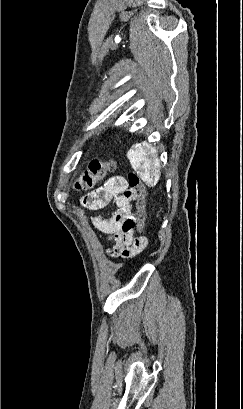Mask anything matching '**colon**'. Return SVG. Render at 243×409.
Here are the masks:
<instances>
[{
    "instance_id": "1",
    "label": "colon",
    "mask_w": 243,
    "mask_h": 409,
    "mask_svg": "<svg viewBox=\"0 0 243 409\" xmlns=\"http://www.w3.org/2000/svg\"><path fill=\"white\" fill-rule=\"evenodd\" d=\"M114 167L111 161L92 160L88 168L76 180L75 188L77 190L92 189L98 182L104 180ZM128 181L131 189L136 192L135 228L138 233H141L146 219V189L135 173L129 174Z\"/></svg>"
}]
</instances>
